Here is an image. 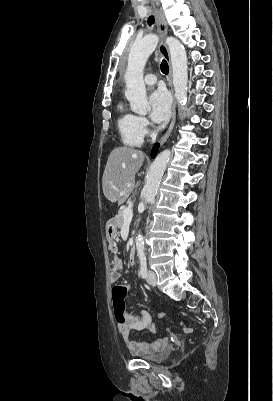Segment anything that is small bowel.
Instances as JSON below:
<instances>
[{"label": "small bowel", "instance_id": "c3829d8e", "mask_svg": "<svg viewBox=\"0 0 273 401\" xmlns=\"http://www.w3.org/2000/svg\"><path fill=\"white\" fill-rule=\"evenodd\" d=\"M122 266H123L122 259L118 256L113 257V259L111 261V270H110V280L112 282L115 283L120 280V278H121L120 269L122 268ZM154 310L158 311L159 307L155 306ZM163 315H165V314H163ZM169 316L173 317L174 313L170 312ZM183 327L184 328L182 329V332L184 334L192 333V328L188 327L187 323H184ZM117 330H118L120 336L122 337V339L124 341L130 343L131 349L137 354L154 355V354H157V353L165 350L168 346L167 338L159 339L156 341L131 343L132 339H130V334L132 331L148 330L151 332H156V327L152 322L151 316L146 311H141L139 314L127 313L126 322L124 324H117Z\"/></svg>", "mask_w": 273, "mask_h": 401}]
</instances>
